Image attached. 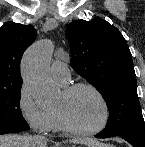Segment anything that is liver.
I'll return each mask as SVG.
<instances>
[{
	"instance_id": "1",
	"label": "liver",
	"mask_w": 145,
	"mask_h": 147,
	"mask_svg": "<svg viewBox=\"0 0 145 147\" xmlns=\"http://www.w3.org/2000/svg\"><path fill=\"white\" fill-rule=\"evenodd\" d=\"M72 142L85 144L88 147H112L110 145L101 144L93 139L74 140ZM46 145L38 146V144L32 141L28 136L16 134L0 135V147H46Z\"/></svg>"
}]
</instances>
